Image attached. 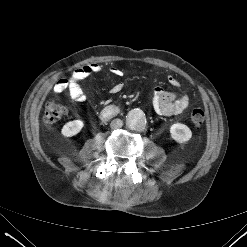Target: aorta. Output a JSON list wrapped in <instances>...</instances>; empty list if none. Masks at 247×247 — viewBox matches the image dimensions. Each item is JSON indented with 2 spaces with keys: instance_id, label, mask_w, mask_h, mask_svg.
Masks as SVG:
<instances>
[{
  "instance_id": "obj_1",
  "label": "aorta",
  "mask_w": 247,
  "mask_h": 247,
  "mask_svg": "<svg viewBox=\"0 0 247 247\" xmlns=\"http://www.w3.org/2000/svg\"><path fill=\"white\" fill-rule=\"evenodd\" d=\"M146 124L145 113L139 109L135 108L128 112L126 116V125L136 131H142Z\"/></svg>"
}]
</instances>
